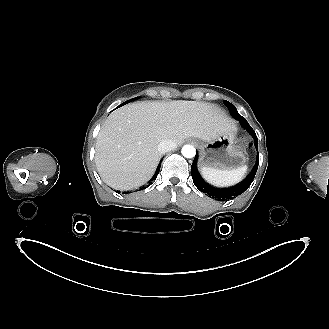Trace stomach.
<instances>
[{"instance_id": "stomach-1", "label": "stomach", "mask_w": 329, "mask_h": 329, "mask_svg": "<svg viewBox=\"0 0 329 329\" xmlns=\"http://www.w3.org/2000/svg\"><path fill=\"white\" fill-rule=\"evenodd\" d=\"M247 160L246 152L236 137L235 128L202 144L199 166L229 171L246 166Z\"/></svg>"}]
</instances>
